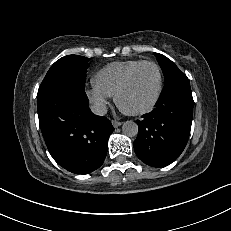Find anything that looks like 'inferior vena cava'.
<instances>
[{"mask_svg":"<svg viewBox=\"0 0 231 231\" xmlns=\"http://www.w3.org/2000/svg\"><path fill=\"white\" fill-rule=\"evenodd\" d=\"M91 111L99 116H103L107 113V107L102 103H95L90 107Z\"/></svg>","mask_w":231,"mask_h":231,"instance_id":"602c4592","label":"inferior vena cava"}]
</instances>
